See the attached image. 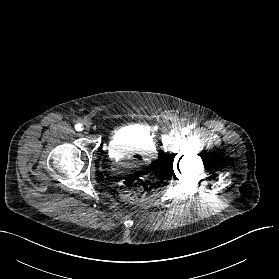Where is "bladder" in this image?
Here are the masks:
<instances>
[{
    "instance_id": "bladder-1",
    "label": "bladder",
    "mask_w": 279,
    "mask_h": 279,
    "mask_svg": "<svg viewBox=\"0 0 279 279\" xmlns=\"http://www.w3.org/2000/svg\"><path fill=\"white\" fill-rule=\"evenodd\" d=\"M107 151L114 162L124 168L147 167L158 157L153 132L141 123L127 124L113 131Z\"/></svg>"
}]
</instances>
